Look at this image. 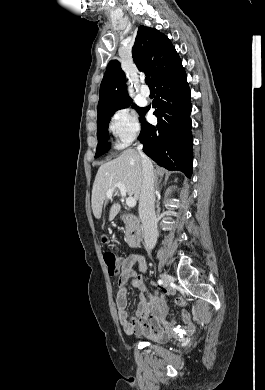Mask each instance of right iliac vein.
Returning a JSON list of instances; mask_svg holds the SVG:
<instances>
[{
  "label": "right iliac vein",
  "mask_w": 265,
  "mask_h": 390,
  "mask_svg": "<svg viewBox=\"0 0 265 390\" xmlns=\"http://www.w3.org/2000/svg\"><path fill=\"white\" fill-rule=\"evenodd\" d=\"M161 279H162L163 284H164L165 287H167L169 285V282L171 280L170 276L168 274H166V273H163L161 275Z\"/></svg>",
  "instance_id": "1"
}]
</instances>
